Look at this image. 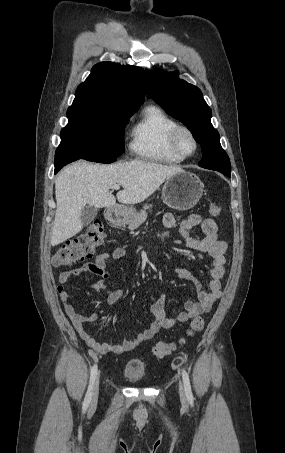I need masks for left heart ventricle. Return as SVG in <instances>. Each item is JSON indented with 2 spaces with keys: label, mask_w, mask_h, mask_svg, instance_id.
I'll return each mask as SVG.
<instances>
[{
  "label": "left heart ventricle",
  "mask_w": 285,
  "mask_h": 453,
  "mask_svg": "<svg viewBox=\"0 0 285 453\" xmlns=\"http://www.w3.org/2000/svg\"><path fill=\"white\" fill-rule=\"evenodd\" d=\"M179 145H180L182 151H184L185 153H190L194 147L191 138L186 134H182L180 136Z\"/></svg>",
  "instance_id": "b2bd125f"
}]
</instances>
